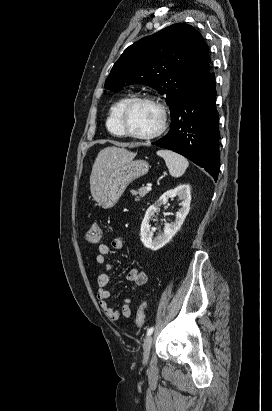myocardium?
<instances>
[{
  "label": "myocardium",
  "mask_w": 272,
  "mask_h": 411,
  "mask_svg": "<svg viewBox=\"0 0 272 411\" xmlns=\"http://www.w3.org/2000/svg\"><path fill=\"white\" fill-rule=\"evenodd\" d=\"M136 103H148L153 105L154 107H156L159 111L160 114V123L159 126L157 127V129L149 134H145V135H140V134H135L130 132L127 127H126V115L129 111V109ZM119 126L121 128L122 134L123 136L129 137L131 139L134 140H140V141H149V140H153L156 139L158 137H160L162 134H164V132L167 129L168 126V115H167V110L165 108V106L163 105V103L158 100L157 98L154 97H150V96H135V97H131L129 98L126 103L123 105V107L120 110L119 113Z\"/></svg>",
  "instance_id": "myocardium-1"
}]
</instances>
